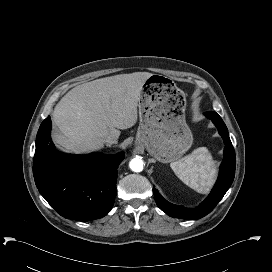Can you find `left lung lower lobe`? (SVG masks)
Segmentation results:
<instances>
[{
    "label": "left lung lower lobe",
    "instance_id": "1",
    "mask_svg": "<svg viewBox=\"0 0 272 272\" xmlns=\"http://www.w3.org/2000/svg\"><path fill=\"white\" fill-rule=\"evenodd\" d=\"M218 128L219 134L224 139V160L220 167L218 180L209 196L195 209H187L167 202L154 188V199L159 208L171 217L194 220L207 215L222 199L231 186L236 167L235 152L229 138L228 130L221 117L216 112L204 113Z\"/></svg>",
    "mask_w": 272,
    "mask_h": 272
}]
</instances>
